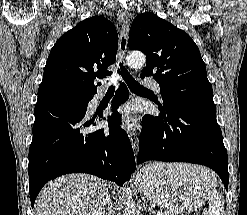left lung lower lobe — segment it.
<instances>
[{
	"instance_id": "obj_1",
	"label": "left lung lower lobe",
	"mask_w": 247,
	"mask_h": 215,
	"mask_svg": "<svg viewBox=\"0 0 247 215\" xmlns=\"http://www.w3.org/2000/svg\"><path fill=\"white\" fill-rule=\"evenodd\" d=\"M143 117L137 164L149 160L205 165L220 176L226 190L228 158L216 108L189 104Z\"/></svg>"
}]
</instances>
